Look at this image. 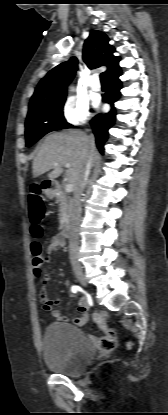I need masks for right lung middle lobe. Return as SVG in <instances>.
<instances>
[{
    "instance_id": "dd1d6c3e",
    "label": "right lung middle lobe",
    "mask_w": 168,
    "mask_h": 415,
    "mask_svg": "<svg viewBox=\"0 0 168 415\" xmlns=\"http://www.w3.org/2000/svg\"><path fill=\"white\" fill-rule=\"evenodd\" d=\"M66 98L29 110L26 119V146L30 147L48 132L72 127L63 116Z\"/></svg>"
}]
</instances>
